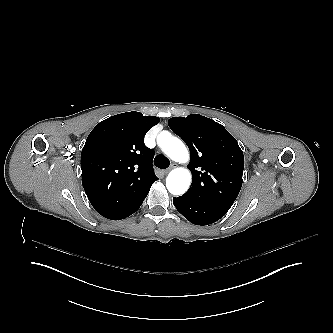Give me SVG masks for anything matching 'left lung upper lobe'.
Instances as JSON below:
<instances>
[{
	"label": "left lung upper lobe",
	"mask_w": 333,
	"mask_h": 333,
	"mask_svg": "<svg viewBox=\"0 0 333 333\" xmlns=\"http://www.w3.org/2000/svg\"><path fill=\"white\" fill-rule=\"evenodd\" d=\"M168 124L191 153L192 183L183 196L230 208L240 192L244 169L236 139L221 124L198 114L173 117Z\"/></svg>",
	"instance_id": "1"
}]
</instances>
